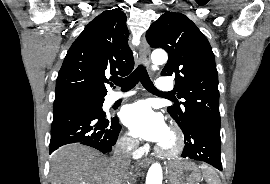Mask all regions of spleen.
<instances>
[{
	"label": "spleen",
	"mask_w": 270,
	"mask_h": 184,
	"mask_svg": "<svg viewBox=\"0 0 270 184\" xmlns=\"http://www.w3.org/2000/svg\"><path fill=\"white\" fill-rule=\"evenodd\" d=\"M201 169L203 171V176L206 178L208 184H221L220 179L215 174L213 169L207 167L206 165H202Z\"/></svg>",
	"instance_id": "obj_1"
}]
</instances>
